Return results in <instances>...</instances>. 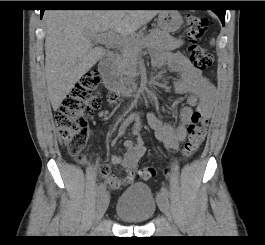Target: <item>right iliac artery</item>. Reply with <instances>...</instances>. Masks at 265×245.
Segmentation results:
<instances>
[{
    "instance_id": "right-iliac-artery-1",
    "label": "right iliac artery",
    "mask_w": 265,
    "mask_h": 245,
    "mask_svg": "<svg viewBox=\"0 0 265 245\" xmlns=\"http://www.w3.org/2000/svg\"><path fill=\"white\" fill-rule=\"evenodd\" d=\"M132 120V115L128 116L124 122L122 123L121 127L122 126H127ZM106 191V186L105 184H101L98 189H97V196L100 197L102 194H104Z\"/></svg>"
}]
</instances>
